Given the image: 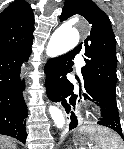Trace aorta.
<instances>
[{
	"instance_id": "obj_1",
	"label": "aorta",
	"mask_w": 124,
	"mask_h": 149,
	"mask_svg": "<svg viewBox=\"0 0 124 149\" xmlns=\"http://www.w3.org/2000/svg\"><path fill=\"white\" fill-rule=\"evenodd\" d=\"M79 18H72L60 25L52 34L49 44L48 52L65 53L74 48L79 42V32L75 28ZM49 113L57 128H63L65 125V118L62 111L56 106L49 107Z\"/></svg>"
}]
</instances>
